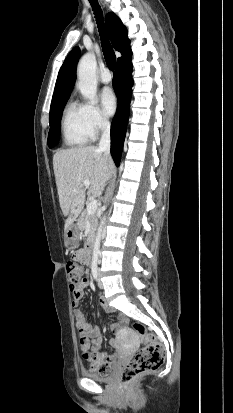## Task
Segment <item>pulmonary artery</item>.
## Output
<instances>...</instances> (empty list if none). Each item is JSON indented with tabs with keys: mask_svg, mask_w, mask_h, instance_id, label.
<instances>
[{
	"mask_svg": "<svg viewBox=\"0 0 233 413\" xmlns=\"http://www.w3.org/2000/svg\"><path fill=\"white\" fill-rule=\"evenodd\" d=\"M100 81L104 84H108L112 81L111 73L108 69H104L100 74Z\"/></svg>",
	"mask_w": 233,
	"mask_h": 413,
	"instance_id": "obj_1",
	"label": "pulmonary artery"
}]
</instances>
